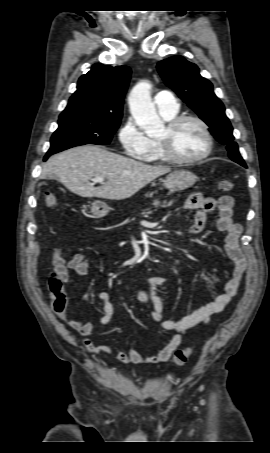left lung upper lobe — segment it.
Masks as SVG:
<instances>
[{"label": "left lung upper lobe", "instance_id": "left-lung-upper-lobe-1", "mask_svg": "<svg viewBox=\"0 0 270 453\" xmlns=\"http://www.w3.org/2000/svg\"><path fill=\"white\" fill-rule=\"evenodd\" d=\"M157 69L164 82L207 123L217 141L226 145L229 157L246 167L224 105L213 92L212 83L200 75L199 68L181 56H173L160 61Z\"/></svg>", "mask_w": 270, "mask_h": 453}]
</instances>
